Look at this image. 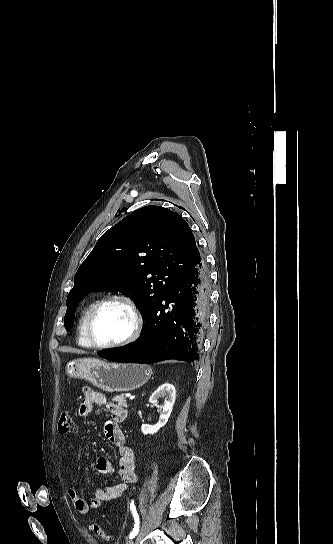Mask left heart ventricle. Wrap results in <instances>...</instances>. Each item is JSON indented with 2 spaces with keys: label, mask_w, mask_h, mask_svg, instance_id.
Instances as JSON below:
<instances>
[{
  "label": "left heart ventricle",
  "mask_w": 333,
  "mask_h": 544,
  "mask_svg": "<svg viewBox=\"0 0 333 544\" xmlns=\"http://www.w3.org/2000/svg\"><path fill=\"white\" fill-rule=\"evenodd\" d=\"M133 325L130 309L122 302H111L98 313L93 324V334L99 343H114L125 339Z\"/></svg>",
  "instance_id": "left-heart-ventricle-1"
}]
</instances>
